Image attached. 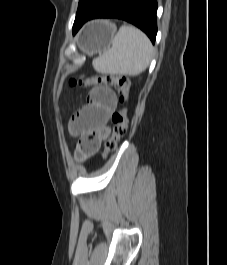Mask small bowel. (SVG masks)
Segmentation results:
<instances>
[{
    "label": "small bowel",
    "instance_id": "1",
    "mask_svg": "<svg viewBox=\"0 0 227 265\" xmlns=\"http://www.w3.org/2000/svg\"><path fill=\"white\" fill-rule=\"evenodd\" d=\"M115 107L113 91L98 86L88 94L87 104L72 116L69 130L73 136L80 137L77 149L83 156L95 153L101 142L109 136L107 123Z\"/></svg>",
    "mask_w": 227,
    "mask_h": 265
}]
</instances>
